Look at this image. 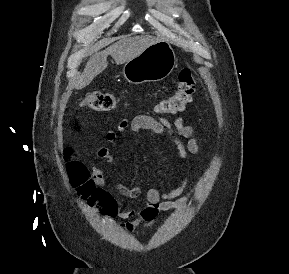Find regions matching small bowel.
<instances>
[{
  "mask_svg": "<svg viewBox=\"0 0 289 274\" xmlns=\"http://www.w3.org/2000/svg\"><path fill=\"white\" fill-rule=\"evenodd\" d=\"M128 129L133 132L151 131L158 135L169 134L173 138L178 156L185 160L189 155H197L199 153V145L195 138L194 128L185 123L183 118H177L174 123L161 118H154L148 115H137L131 123L127 120H121L118 123L117 131L125 132ZM117 131L109 130L106 138L110 143H116L118 139ZM181 138L187 140L183 143ZM97 156L109 163L114 161V155L107 147H100L96 152ZM91 176L98 186H104L105 177L101 169L93 167ZM187 179H183L181 183L170 190L160 191L156 188H150L145 193V206L140 210L131 209L121 206L116 213L123 219H129V222L122 224L127 231H133L139 225L143 224L142 230L151 228L160 212L173 208L177 203H184L189 200L191 194H184ZM115 189L125 198L136 199L141 195L139 187H127L116 182Z\"/></svg>",
  "mask_w": 289,
  "mask_h": 274,
  "instance_id": "small-bowel-1",
  "label": "small bowel"
}]
</instances>
